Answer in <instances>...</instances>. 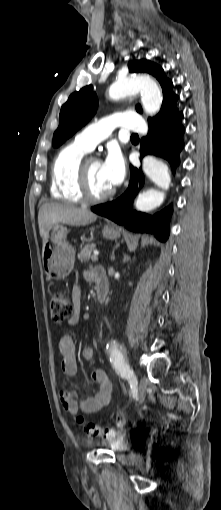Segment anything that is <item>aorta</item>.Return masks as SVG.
<instances>
[{"mask_svg":"<svg viewBox=\"0 0 221 510\" xmlns=\"http://www.w3.org/2000/svg\"><path fill=\"white\" fill-rule=\"evenodd\" d=\"M138 92L141 93L144 110L150 115H155L161 108L162 93L156 82L149 76L130 75L118 79L109 88V96L114 100ZM143 171L152 182L162 189H148L138 196L135 203L136 209L148 212L163 203L165 199L164 191L168 190L171 177L167 165L153 156H147L143 159ZM109 345L110 347L114 346L112 341Z\"/></svg>","mask_w":221,"mask_h":510,"instance_id":"1","label":"aorta"}]
</instances>
